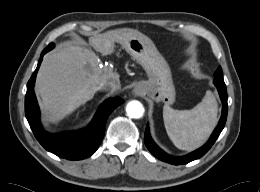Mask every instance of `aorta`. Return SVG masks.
<instances>
[{"label":"aorta","mask_w":260,"mask_h":192,"mask_svg":"<svg viewBox=\"0 0 260 192\" xmlns=\"http://www.w3.org/2000/svg\"><path fill=\"white\" fill-rule=\"evenodd\" d=\"M144 107L141 102L133 100L126 105V113L130 118L139 119L144 115Z\"/></svg>","instance_id":"762f6f07"}]
</instances>
